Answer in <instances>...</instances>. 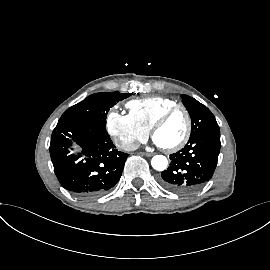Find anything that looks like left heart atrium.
<instances>
[{
	"label": "left heart atrium",
	"instance_id": "obj_1",
	"mask_svg": "<svg viewBox=\"0 0 270 270\" xmlns=\"http://www.w3.org/2000/svg\"><path fill=\"white\" fill-rule=\"evenodd\" d=\"M153 143H154L156 146L161 147L160 144H159L155 139L153 140Z\"/></svg>",
	"mask_w": 270,
	"mask_h": 270
}]
</instances>
